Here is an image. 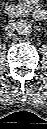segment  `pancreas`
<instances>
[{"mask_svg":"<svg viewBox=\"0 0 47 129\" xmlns=\"http://www.w3.org/2000/svg\"><path fill=\"white\" fill-rule=\"evenodd\" d=\"M33 0H24L19 4L20 7L24 8L26 6H29Z\"/></svg>","mask_w":47,"mask_h":129,"instance_id":"cf45deb5","label":"pancreas"}]
</instances>
